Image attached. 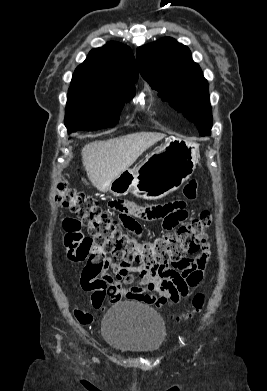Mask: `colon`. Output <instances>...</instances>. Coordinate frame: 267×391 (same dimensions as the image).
<instances>
[{
  "instance_id": "1",
  "label": "colon",
  "mask_w": 267,
  "mask_h": 391,
  "mask_svg": "<svg viewBox=\"0 0 267 391\" xmlns=\"http://www.w3.org/2000/svg\"><path fill=\"white\" fill-rule=\"evenodd\" d=\"M55 200L87 228L88 235L75 239L83 254L101 252L125 266H141L150 272L159 271L167 265H180L187 254L202 250L212 222L211 213L203 211L190 223L181 225L175 233L138 240L122 232L90 197L65 183L58 185ZM203 303V294H196L193 298V312L199 311ZM193 312L185 314L181 319L191 318Z\"/></svg>"
}]
</instances>
